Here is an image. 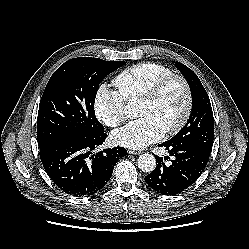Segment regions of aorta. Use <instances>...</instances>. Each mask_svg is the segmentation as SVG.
I'll list each match as a JSON object with an SVG mask.
<instances>
[{
	"label": "aorta",
	"mask_w": 249,
	"mask_h": 249,
	"mask_svg": "<svg viewBox=\"0 0 249 249\" xmlns=\"http://www.w3.org/2000/svg\"><path fill=\"white\" fill-rule=\"evenodd\" d=\"M137 164L140 170L150 173L156 167V159L152 154L145 153L139 156Z\"/></svg>",
	"instance_id": "762f6f07"
}]
</instances>
